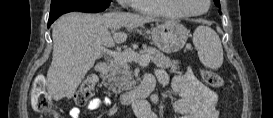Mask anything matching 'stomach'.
I'll return each mask as SVG.
<instances>
[{"mask_svg":"<svg viewBox=\"0 0 273 118\" xmlns=\"http://www.w3.org/2000/svg\"><path fill=\"white\" fill-rule=\"evenodd\" d=\"M188 34L189 31L175 21H165L151 29L153 44L165 53H174L183 48Z\"/></svg>","mask_w":273,"mask_h":118,"instance_id":"0dacf381","label":"stomach"}]
</instances>
